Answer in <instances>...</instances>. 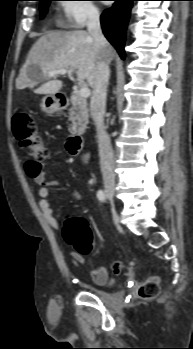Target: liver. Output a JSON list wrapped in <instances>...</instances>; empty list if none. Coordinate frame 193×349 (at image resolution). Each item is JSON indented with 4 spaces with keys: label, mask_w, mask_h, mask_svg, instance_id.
<instances>
[{
    "label": "liver",
    "mask_w": 193,
    "mask_h": 349,
    "mask_svg": "<svg viewBox=\"0 0 193 349\" xmlns=\"http://www.w3.org/2000/svg\"><path fill=\"white\" fill-rule=\"evenodd\" d=\"M112 56V47L108 44L103 51L100 50L87 31H50L32 46L16 80V87L32 89L42 79L50 78V72L69 68L76 69L78 82L86 80L93 87L98 63L103 58L110 62ZM62 86L61 80L53 78L38 87L35 93L56 94Z\"/></svg>",
    "instance_id": "obj_1"
}]
</instances>
